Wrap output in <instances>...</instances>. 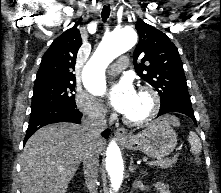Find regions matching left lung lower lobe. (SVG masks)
Masks as SVG:
<instances>
[{
  "label": "left lung lower lobe",
  "mask_w": 221,
  "mask_h": 193,
  "mask_svg": "<svg viewBox=\"0 0 221 193\" xmlns=\"http://www.w3.org/2000/svg\"><path fill=\"white\" fill-rule=\"evenodd\" d=\"M170 112H179L185 114L196 123L189 95H179L168 100L164 104H161L158 116Z\"/></svg>",
  "instance_id": "0a47b994"
}]
</instances>
